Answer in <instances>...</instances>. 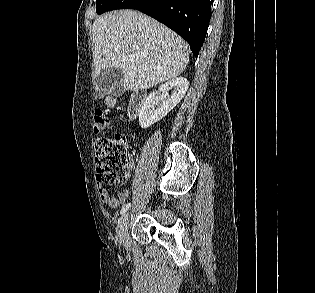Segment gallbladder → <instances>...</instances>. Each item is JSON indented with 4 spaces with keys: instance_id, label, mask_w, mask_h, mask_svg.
Masks as SVG:
<instances>
[{
    "instance_id": "1",
    "label": "gallbladder",
    "mask_w": 315,
    "mask_h": 293,
    "mask_svg": "<svg viewBox=\"0 0 315 293\" xmlns=\"http://www.w3.org/2000/svg\"><path fill=\"white\" fill-rule=\"evenodd\" d=\"M123 71L119 68H106L97 76L98 85L108 91H111L115 96H120L123 93L122 87ZM103 93L102 90H99Z\"/></svg>"
}]
</instances>
